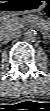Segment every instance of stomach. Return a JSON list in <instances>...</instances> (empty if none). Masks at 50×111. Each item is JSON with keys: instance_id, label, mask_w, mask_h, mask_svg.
<instances>
[{"instance_id": "1", "label": "stomach", "mask_w": 50, "mask_h": 111, "mask_svg": "<svg viewBox=\"0 0 50 111\" xmlns=\"http://www.w3.org/2000/svg\"><path fill=\"white\" fill-rule=\"evenodd\" d=\"M4 13L8 16L37 12L44 8L45 0H7Z\"/></svg>"}]
</instances>
